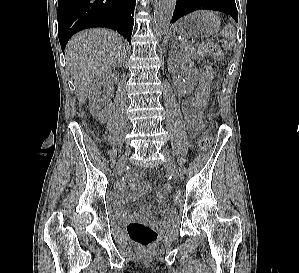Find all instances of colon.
Returning <instances> with one entry per match:
<instances>
[{
  "instance_id": "obj_1",
  "label": "colon",
  "mask_w": 299,
  "mask_h": 273,
  "mask_svg": "<svg viewBox=\"0 0 299 273\" xmlns=\"http://www.w3.org/2000/svg\"><path fill=\"white\" fill-rule=\"evenodd\" d=\"M216 48L213 45H203L201 52L207 55H213L216 53ZM214 75V64L209 62L206 64L201 78L200 83L196 92V111L200 113L201 109L204 108L209 100V93L212 78ZM213 144V138L204 131L199 140V147L202 151H207ZM183 200V192L176 190L173 194V201L175 204L181 203ZM127 233L129 238L141 247H149L153 245L158 237L157 230L144 223V222H131L127 225Z\"/></svg>"
}]
</instances>
